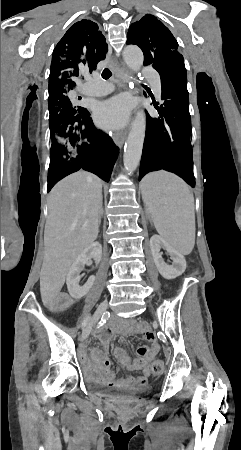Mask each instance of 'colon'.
I'll list each match as a JSON object with an SVG mask.
<instances>
[{
    "label": "colon",
    "mask_w": 241,
    "mask_h": 450,
    "mask_svg": "<svg viewBox=\"0 0 241 450\" xmlns=\"http://www.w3.org/2000/svg\"><path fill=\"white\" fill-rule=\"evenodd\" d=\"M163 371V363L162 361H156L153 365V372L156 375H159Z\"/></svg>",
    "instance_id": "1"
}]
</instances>
